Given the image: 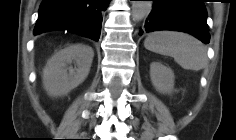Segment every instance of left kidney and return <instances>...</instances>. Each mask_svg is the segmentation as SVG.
<instances>
[{"mask_svg": "<svg viewBox=\"0 0 236 140\" xmlns=\"http://www.w3.org/2000/svg\"><path fill=\"white\" fill-rule=\"evenodd\" d=\"M150 77L153 86L160 93H171L174 88V73L171 68L159 62L150 65Z\"/></svg>", "mask_w": 236, "mask_h": 140, "instance_id": "left-kidney-1", "label": "left kidney"}]
</instances>
